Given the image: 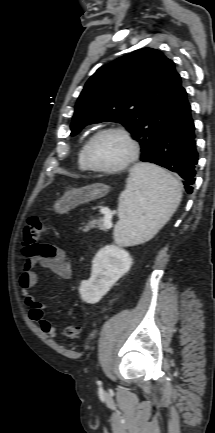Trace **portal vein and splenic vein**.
Instances as JSON below:
<instances>
[{"label": "portal vein and splenic vein", "instance_id": "portal-vein-and-splenic-vein-1", "mask_svg": "<svg viewBox=\"0 0 215 433\" xmlns=\"http://www.w3.org/2000/svg\"><path fill=\"white\" fill-rule=\"evenodd\" d=\"M100 212L102 214H104V225H105V227L107 229L111 228L112 227L111 219H112V216H113V213L111 212V210L108 209V208H101Z\"/></svg>", "mask_w": 215, "mask_h": 433}]
</instances>
